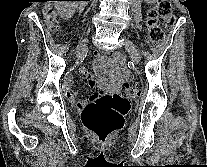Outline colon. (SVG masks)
Masks as SVG:
<instances>
[{"label": "colon", "mask_w": 207, "mask_h": 167, "mask_svg": "<svg viewBox=\"0 0 207 167\" xmlns=\"http://www.w3.org/2000/svg\"><path fill=\"white\" fill-rule=\"evenodd\" d=\"M50 28H57V19L52 9L45 11ZM148 29V40L151 44H158L163 36L164 29L174 27L172 5L169 0H158L149 8L146 19ZM115 57L121 60V56ZM139 87L131 82H125L121 93H106L95 101L89 103L82 112V123L84 127L95 135L99 140L105 141L109 136L122 128L124 117L131 108V101L138 97Z\"/></svg>", "instance_id": "5ec220e1"}]
</instances>
